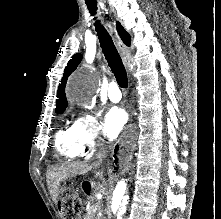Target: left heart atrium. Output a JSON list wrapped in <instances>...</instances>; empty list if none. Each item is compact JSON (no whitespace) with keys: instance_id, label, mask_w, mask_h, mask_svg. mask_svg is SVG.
<instances>
[{"instance_id":"obj_1","label":"left heart atrium","mask_w":221,"mask_h":219,"mask_svg":"<svg viewBox=\"0 0 221 219\" xmlns=\"http://www.w3.org/2000/svg\"><path fill=\"white\" fill-rule=\"evenodd\" d=\"M127 121V114L125 110L113 107L106 116L104 122V132L109 138L115 137Z\"/></svg>"}]
</instances>
